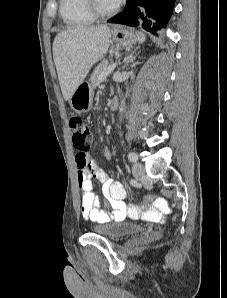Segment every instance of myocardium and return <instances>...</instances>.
Instances as JSON below:
<instances>
[{
	"label": "myocardium",
	"mask_w": 227,
	"mask_h": 298,
	"mask_svg": "<svg viewBox=\"0 0 227 298\" xmlns=\"http://www.w3.org/2000/svg\"><path fill=\"white\" fill-rule=\"evenodd\" d=\"M86 5L87 9L95 19H104L111 17L118 10V5L106 11L101 10L96 4V0H86Z\"/></svg>",
	"instance_id": "1"
}]
</instances>
